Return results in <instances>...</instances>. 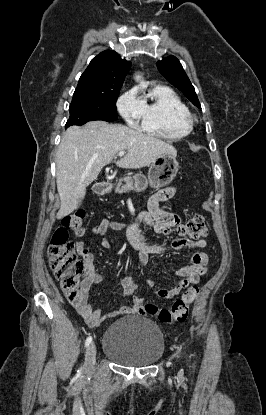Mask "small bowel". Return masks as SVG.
<instances>
[{
	"label": "small bowel",
	"mask_w": 266,
	"mask_h": 415,
	"mask_svg": "<svg viewBox=\"0 0 266 415\" xmlns=\"http://www.w3.org/2000/svg\"><path fill=\"white\" fill-rule=\"evenodd\" d=\"M176 191L175 187H168L157 191L149 198L147 202V211L140 212L135 221L129 226L122 223L103 220L99 225L93 227V233L102 237L100 240L101 247H110V241L105 237L108 229L122 230L126 228L130 244L138 251L140 266L146 263L149 255L165 253L167 251L165 247L146 243L144 236L138 229V225L140 222H143L152 227L157 233L165 235L170 234L172 229L179 224L180 218L174 213L163 210L160 207V203L171 199L176 194ZM205 246L206 241L203 239L192 240L181 238L176 239L171 243V248L174 250H195L204 248ZM76 250L85 263L86 273L81 282L79 296L75 301L71 302V304L89 327L96 329L105 320L121 315L143 314V299L135 296L137 284L130 276L133 273H138V269L128 271L122 279L125 296L131 298V305L122 306L120 309L105 315H101L99 310H94L88 303V296L92 286L102 279V275L95 269V255L88 250L86 244L82 240L76 242ZM207 271V254L205 252H196L191 256L189 264L176 270V274L181 278L176 285L171 288L159 289L156 292V295L162 299H172L179 295L180 292L189 285L198 283L200 277L206 274ZM147 283L150 286L152 285L151 281H148Z\"/></svg>",
	"instance_id": "1"
}]
</instances>
